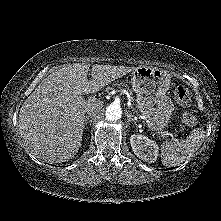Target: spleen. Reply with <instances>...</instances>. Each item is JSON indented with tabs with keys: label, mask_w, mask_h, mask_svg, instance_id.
<instances>
[{
	"label": "spleen",
	"mask_w": 221,
	"mask_h": 221,
	"mask_svg": "<svg viewBox=\"0 0 221 221\" xmlns=\"http://www.w3.org/2000/svg\"><path fill=\"white\" fill-rule=\"evenodd\" d=\"M205 138V131L196 128L191 131L187 139L177 142H164L161 145L162 163L165 166L180 165L185 160L190 159L199 149Z\"/></svg>",
	"instance_id": "3e777b00"
}]
</instances>
